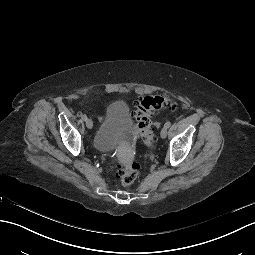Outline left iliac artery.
I'll list each match as a JSON object with an SVG mask.
<instances>
[{
    "mask_svg": "<svg viewBox=\"0 0 255 255\" xmlns=\"http://www.w3.org/2000/svg\"><path fill=\"white\" fill-rule=\"evenodd\" d=\"M171 126V122L170 121H167L165 124H164V127L165 128H169Z\"/></svg>",
    "mask_w": 255,
    "mask_h": 255,
    "instance_id": "left-iliac-artery-1",
    "label": "left iliac artery"
}]
</instances>
